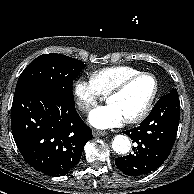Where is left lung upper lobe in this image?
Instances as JSON below:
<instances>
[{
    "label": "left lung upper lobe",
    "mask_w": 194,
    "mask_h": 194,
    "mask_svg": "<svg viewBox=\"0 0 194 194\" xmlns=\"http://www.w3.org/2000/svg\"><path fill=\"white\" fill-rule=\"evenodd\" d=\"M170 93L177 94V90L173 88Z\"/></svg>",
    "instance_id": "1"
}]
</instances>
